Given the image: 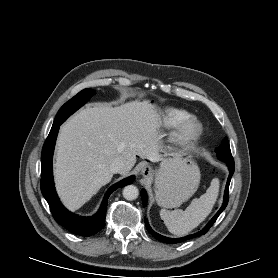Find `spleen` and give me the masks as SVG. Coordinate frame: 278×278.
Instances as JSON below:
<instances>
[{
  "instance_id": "1",
  "label": "spleen",
  "mask_w": 278,
  "mask_h": 278,
  "mask_svg": "<svg viewBox=\"0 0 278 278\" xmlns=\"http://www.w3.org/2000/svg\"><path fill=\"white\" fill-rule=\"evenodd\" d=\"M218 192L219 180L214 178L206 193L201 195L200 198L193 199L185 211L161 209L160 217L172 234L177 236L186 235L211 213Z\"/></svg>"
}]
</instances>
